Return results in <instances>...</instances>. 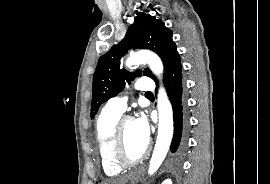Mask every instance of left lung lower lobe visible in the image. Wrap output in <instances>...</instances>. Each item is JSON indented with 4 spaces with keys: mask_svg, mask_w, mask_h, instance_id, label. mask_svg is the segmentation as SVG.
Returning a JSON list of instances; mask_svg holds the SVG:
<instances>
[{
    "mask_svg": "<svg viewBox=\"0 0 270 184\" xmlns=\"http://www.w3.org/2000/svg\"><path fill=\"white\" fill-rule=\"evenodd\" d=\"M155 82L158 85V81L155 80ZM163 82L173 109L174 134L171 152L176 159H179L186 150L189 119L183 89L181 59L178 52L165 69Z\"/></svg>",
    "mask_w": 270,
    "mask_h": 184,
    "instance_id": "0a47b994",
    "label": "left lung lower lobe"
}]
</instances>
